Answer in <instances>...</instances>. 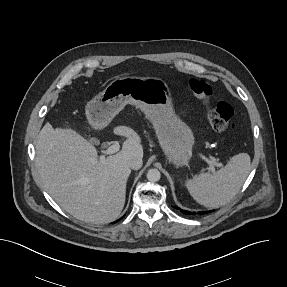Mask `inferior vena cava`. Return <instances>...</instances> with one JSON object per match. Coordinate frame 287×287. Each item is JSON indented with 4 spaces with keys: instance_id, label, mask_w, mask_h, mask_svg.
<instances>
[{
    "instance_id": "inferior-vena-cava-1",
    "label": "inferior vena cava",
    "mask_w": 287,
    "mask_h": 287,
    "mask_svg": "<svg viewBox=\"0 0 287 287\" xmlns=\"http://www.w3.org/2000/svg\"><path fill=\"white\" fill-rule=\"evenodd\" d=\"M127 165L129 168L133 170H138L142 167V159L133 157L129 159V161L127 162Z\"/></svg>"
}]
</instances>
